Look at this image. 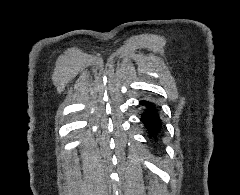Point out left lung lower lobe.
<instances>
[{"label": "left lung lower lobe", "instance_id": "1", "mask_svg": "<svg viewBox=\"0 0 240 195\" xmlns=\"http://www.w3.org/2000/svg\"><path fill=\"white\" fill-rule=\"evenodd\" d=\"M140 105L144 107L141 114V122L148 131L150 138L157 140L162 129V122L158 113L157 106L148 100H141Z\"/></svg>", "mask_w": 240, "mask_h": 195}]
</instances>
